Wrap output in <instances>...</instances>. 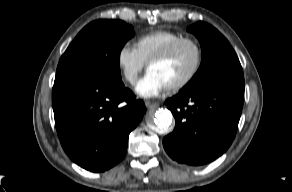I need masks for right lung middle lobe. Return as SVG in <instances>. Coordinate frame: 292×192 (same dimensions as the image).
Listing matches in <instances>:
<instances>
[{
    "instance_id": "dd1d6c3e",
    "label": "right lung middle lobe",
    "mask_w": 292,
    "mask_h": 192,
    "mask_svg": "<svg viewBox=\"0 0 292 192\" xmlns=\"http://www.w3.org/2000/svg\"><path fill=\"white\" fill-rule=\"evenodd\" d=\"M133 27L120 20H96L84 27L62 55L57 71L70 70L98 75L121 83L119 55Z\"/></svg>"
}]
</instances>
